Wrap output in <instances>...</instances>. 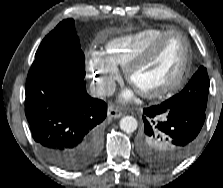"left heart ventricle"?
<instances>
[{
	"label": "left heart ventricle",
	"instance_id": "b2bd125f",
	"mask_svg": "<svg viewBox=\"0 0 223 188\" xmlns=\"http://www.w3.org/2000/svg\"><path fill=\"white\" fill-rule=\"evenodd\" d=\"M184 56L179 36L169 37L141 68L133 74V85L139 90H153L170 81L178 72Z\"/></svg>",
	"mask_w": 223,
	"mask_h": 188
}]
</instances>
